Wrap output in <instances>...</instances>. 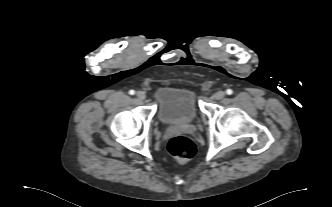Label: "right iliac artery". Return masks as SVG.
<instances>
[{
	"instance_id": "1",
	"label": "right iliac artery",
	"mask_w": 332,
	"mask_h": 207,
	"mask_svg": "<svg viewBox=\"0 0 332 207\" xmlns=\"http://www.w3.org/2000/svg\"><path fill=\"white\" fill-rule=\"evenodd\" d=\"M129 94H130V95H134V94H135V91H134V90H130V91H129Z\"/></svg>"
}]
</instances>
